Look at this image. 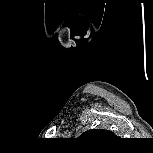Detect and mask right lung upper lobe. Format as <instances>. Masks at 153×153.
Segmentation results:
<instances>
[{
    "mask_svg": "<svg viewBox=\"0 0 153 153\" xmlns=\"http://www.w3.org/2000/svg\"><path fill=\"white\" fill-rule=\"evenodd\" d=\"M102 137H115V135L108 130H100V129H93L88 130L81 134L79 138L81 139H98Z\"/></svg>",
    "mask_w": 153,
    "mask_h": 153,
    "instance_id": "cb5924a9",
    "label": "right lung upper lobe"
}]
</instances>
